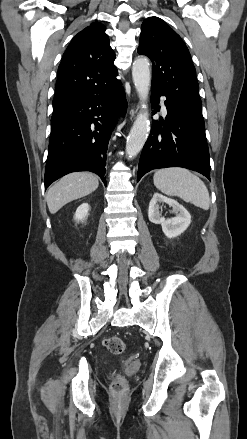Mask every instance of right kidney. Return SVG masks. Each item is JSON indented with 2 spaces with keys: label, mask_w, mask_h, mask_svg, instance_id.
Returning <instances> with one entry per match:
<instances>
[{
  "label": "right kidney",
  "mask_w": 247,
  "mask_h": 439,
  "mask_svg": "<svg viewBox=\"0 0 247 439\" xmlns=\"http://www.w3.org/2000/svg\"><path fill=\"white\" fill-rule=\"evenodd\" d=\"M89 210H90V206L88 205V203L81 204L76 210L74 219L77 222L79 221L83 222L84 220H86Z\"/></svg>",
  "instance_id": "obj_1"
}]
</instances>
